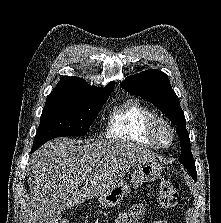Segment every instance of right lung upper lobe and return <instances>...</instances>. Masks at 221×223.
<instances>
[{
	"instance_id": "1",
	"label": "right lung upper lobe",
	"mask_w": 221,
	"mask_h": 223,
	"mask_svg": "<svg viewBox=\"0 0 221 223\" xmlns=\"http://www.w3.org/2000/svg\"><path fill=\"white\" fill-rule=\"evenodd\" d=\"M114 82L105 88L90 86L83 79L64 76L46 99V103L71 100H98L108 98L114 89Z\"/></svg>"
}]
</instances>
